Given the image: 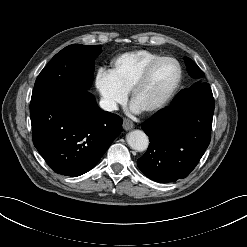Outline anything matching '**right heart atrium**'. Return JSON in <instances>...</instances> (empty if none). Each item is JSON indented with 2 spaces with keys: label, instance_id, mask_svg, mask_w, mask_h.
<instances>
[{
  "label": "right heart atrium",
  "instance_id": "1",
  "mask_svg": "<svg viewBox=\"0 0 247 247\" xmlns=\"http://www.w3.org/2000/svg\"><path fill=\"white\" fill-rule=\"evenodd\" d=\"M94 87L107 110H114L127 98V91L116 82L111 71L103 67L95 74Z\"/></svg>",
  "mask_w": 247,
  "mask_h": 247
}]
</instances>
